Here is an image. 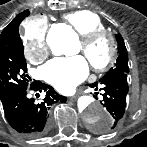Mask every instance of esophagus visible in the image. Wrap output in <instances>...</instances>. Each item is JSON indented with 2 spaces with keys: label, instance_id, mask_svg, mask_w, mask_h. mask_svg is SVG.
<instances>
[{
  "label": "esophagus",
  "instance_id": "obj_1",
  "mask_svg": "<svg viewBox=\"0 0 147 147\" xmlns=\"http://www.w3.org/2000/svg\"><path fill=\"white\" fill-rule=\"evenodd\" d=\"M75 99V97H69L68 98V100H70V101H72V100H74Z\"/></svg>",
  "mask_w": 147,
  "mask_h": 147
}]
</instances>
